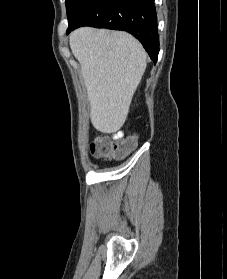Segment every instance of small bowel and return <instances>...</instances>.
Returning a JSON list of instances; mask_svg holds the SVG:
<instances>
[{"instance_id": "obj_1", "label": "small bowel", "mask_w": 227, "mask_h": 279, "mask_svg": "<svg viewBox=\"0 0 227 279\" xmlns=\"http://www.w3.org/2000/svg\"><path fill=\"white\" fill-rule=\"evenodd\" d=\"M124 139H126V137L122 133H119L112 138H105V140L108 141V142L119 141V140H124Z\"/></svg>"}]
</instances>
